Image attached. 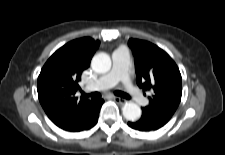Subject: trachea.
<instances>
[{
	"instance_id": "trachea-1",
	"label": "trachea",
	"mask_w": 225,
	"mask_h": 155,
	"mask_svg": "<svg viewBox=\"0 0 225 155\" xmlns=\"http://www.w3.org/2000/svg\"><path fill=\"white\" fill-rule=\"evenodd\" d=\"M82 94L85 95L86 97H91V99H98L101 97V94L99 92H93L90 95H86L84 93H82ZM115 94L122 98L130 99V96L128 94L123 93L121 91H115Z\"/></svg>"
}]
</instances>
